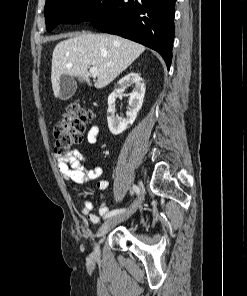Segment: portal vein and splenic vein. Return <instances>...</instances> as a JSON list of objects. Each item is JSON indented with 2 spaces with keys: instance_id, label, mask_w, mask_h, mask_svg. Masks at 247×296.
<instances>
[{
  "instance_id": "1",
  "label": "portal vein and splenic vein",
  "mask_w": 247,
  "mask_h": 296,
  "mask_svg": "<svg viewBox=\"0 0 247 296\" xmlns=\"http://www.w3.org/2000/svg\"><path fill=\"white\" fill-rule=\"evenodd\" d=\"M89 72L93 75L96 76L97 75V67L92 66L89 70Z\"/></svg>"
}]
</instances>
